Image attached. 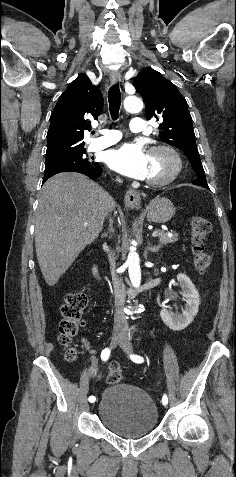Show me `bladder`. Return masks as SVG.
<instances>
[{"label":"bladder","mask_w":236,"mask_h":477,"mask_svg":"<svg viewBox=\"0 0 236 477\" xmlns=\"http://www.w3.org/2000/svg\"><path fill=\"white\" fill-rule=\"evenodd\" d=\"M96 407L101 423L110 432L126 439L146 436L158 425L155 403L137 386L118 383L106 387Z\"/></svg>","instance_id":"1"}]
</instances>
